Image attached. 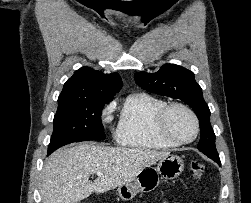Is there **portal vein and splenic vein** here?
Instances as JSON below:
<instances>
[{"label":"portal vein and splenic vein","instance_id":"obj_1","mask_svg":"<svg viewBox=\"0 0 251 203\" xmlns=\"http://www.w3.org/2000/svg\"><path fill=\"white\" fill-rule=\"evenodd\" d=\"M97 176H98V177H102V176H103V174H102V173H100V172H98V173H97Z\"/></svg>","mask_w":251,"mask_h":203}]
</instances>
